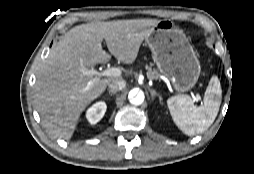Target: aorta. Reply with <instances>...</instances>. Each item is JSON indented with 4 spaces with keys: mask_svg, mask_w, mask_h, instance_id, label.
<instances>
[{
    "mask_svg": "<svg viewBox=\"0 0 254 174\" xmlns=\"http://www.w3.org/2000/svg\"><path fill=\"white\" fill-rule=\"evenodd\" d=\"M144 93L143 91L134 88L128 94V99L133 105H141L144 102Z\"/></svg>",
    "mask_w": 254,
    "mask_h": 174,
    "instance_id": "1",
    "label": "aorta"
}]
</instances>
